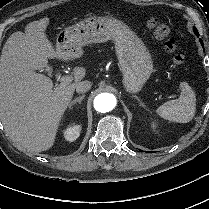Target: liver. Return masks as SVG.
Segmentation results:
<instances>
[{
	"label": "liver",
	"mask_w": 209,
	"mask_h": 209,
	"mask_svg": "<svg viewBox=\"0 0 209 209\" xmlns=\"http://www.w3.org/2000/svg\"><path fill=\"white\" fill-rule=\"evenodd\" d=\"M49 18L30 22L25 33L14 32L0 57V121L10 138L33 151L49 149L76 84L86 75L73 69L74 82L53 88L52 80L36 73L47 67L48 58L62 59L48 39Z\"/></svg>",
	"instance_id": "obj_1"
}]
</instances>
